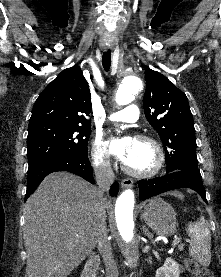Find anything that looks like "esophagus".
Wrapping results in <instances>:
<instances>
[{
	"instance_id": "1",
	"label": "esophagus",
	"mask_w": 221,
	"mask_h": 277,
	"mask_svg": "<svg viewBox=\"0 0 221 277\" xmlns=\"http://www.w3.org/2000/svg\"><path fill=\"white\" fill-rule=\"evenodd\" d=\"M132 184H133V181H132V179H130V178L123 179V180L121 181V186H122V188L131 187Z\"/></svg>"
}]
</instances>
